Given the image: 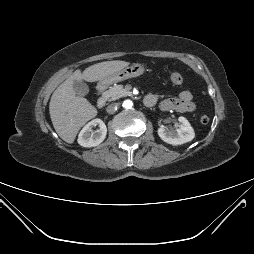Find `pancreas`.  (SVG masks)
I'll return each instance as SVG.
<instances>
[{
	"instance_id": "1",
	"label": "pancreas",
	"mask_w": 254,
	"mask_h": 254,
	"mask_svg": "<svg viewBox=\"0 0 254 254\" xmlns=\"http://www.w3.org/2000/svg\"><path fill=\"white\" fill-rule=\"evenodd\" d=\"M130 95V87H123L122 85H114L103 93V97L108 101H114L121 97Z\"/></svg>"
}]
</instances>
